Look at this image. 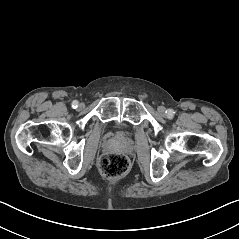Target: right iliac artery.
Returning <instances> with one entry per match:
<instances>
[{
    "label": "right iliac artery",
    "instance_id": "82829eb1",
    "mask_svg": "<svg viewBox=\"0 0 239 239\" xmlns=\"http://www.w3.org/2000/svg\"><path fill=\"white\" fill-rule=\"evenodd\" d=\"M72 107H73V108H77V107H78V101H77V100H74V101L72 102Z\"/></svg>",
    "mask_w": 239,
    "mask_h": 239
}]
</instances>
